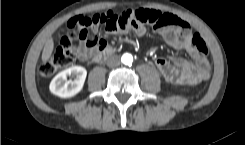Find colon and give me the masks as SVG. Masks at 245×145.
I'll list each match as a JSON object with an SVG mask.
<instances>
[{"mask_svg": "<svg viewBox=\"0 0 245 145\" xmlns=\"http://www.w3.org/2000/svg\"><path fill=\"white\" fill-rule=\"evenodd\" d=\"M178 23L179 19L168 13L145 8L127 9L121 12L107 10L91 15L75 16L67 23L59 46L40 66V75L49 76L60 69L69 67L74 56L81 52L83 41L88 46H94L97 43V37L88 30L91 26L103 25L109 31H127L143 26L175 28ZM80 27H82L81 30H79ZM192 44L199 53L207 54V44L200 35H194ZM207 73L208 68L204 71V74Z\"/></svg>", "mask_w": 245, "mask_h": 145, "instance_id": "5ec220e1", "label": "colon"}]
</instances>
